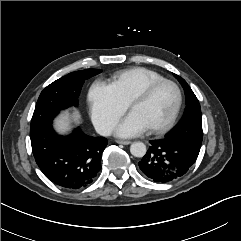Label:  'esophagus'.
I'll use <instances>...</instances> for the list:
<instances>
[{
    "label": "esophagus",
    "mask_w": 241,
    "mask_h": 241,
    "mask_svg": "<svg viewBox=\"0 0 241 241\" xmlns=\"http://www.w3.org/2000/svg\"><path fill=\"white\" fill-rule=\"evenodd\" d=\"M118 144H123V145H129L131 144V141H124V140H117L116 141Z\"/></svg>",
    "instance_id": "obj_1"
}]
</instances>
